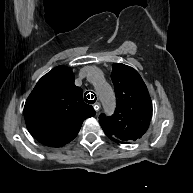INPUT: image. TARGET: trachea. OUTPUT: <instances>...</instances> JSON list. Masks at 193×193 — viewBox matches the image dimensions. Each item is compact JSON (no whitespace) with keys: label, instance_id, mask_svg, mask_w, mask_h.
Masks as SVG:
<instances>
[{"label":"trachea","instance_id":"trachea-1","mask_svg":"<svg viewBox=\"0 0 193 193\" xmlns=\"http://www.w3.org/2000/svg\"><path fill=\"white\" fill-rule=\"evenodd\" d=\"M89 92H91V91H89ZM89 92H87V93H89ZM86 93V94H87ZM86 94H85V101L88 103V104H93L95 101H96V99H97V97H96V95H93V94H91V96H90V94H88L87 96H86ZM95 96V97H94ZM94 98V99H93ZM88 99H93V100H88Z\"/></svg>","mask_w":193,"mask_h":193}]
</instances>
